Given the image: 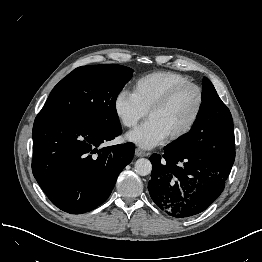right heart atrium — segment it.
Listing matches in <instances>:
<instances>
[{"label": "right heart atrium", "instance_id": "1", "mask_svg": "<svg viewBox=\"0 0 262 262\" xmlns=\"http://www.w3.org/2000/svg\"><path fill=\"white\" fill-rule=\"evenodd\" d=\"M114 110L120 122L127 128L135 127L147 114L134 93L125 89L117 93Z\"/></svg>", "mask_w": 262, "mask_h": 262}]
</instances>
